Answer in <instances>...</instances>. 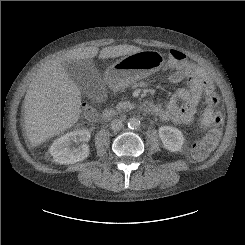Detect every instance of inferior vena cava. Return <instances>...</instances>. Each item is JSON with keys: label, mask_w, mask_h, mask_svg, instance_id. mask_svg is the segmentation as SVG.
Listing matches in <instances>:
<instances>
[{"label": "inferior vena cava", "mask_w": 245, "mask_h": 245, "mask_svg": "<svg viewBox=\"0 0 245 245\" xmlns=\"http://www.w3.org/2000/svg\"><path fill=\"white\" fill-rule=\"evenodd\" d=\"M123 127V123L121 120L119 119H114L112 122H111V129L113 131H119L121 130Z\"/></svg>", "instance_id": "inferior-vena-cava-1"}]
</instances>
